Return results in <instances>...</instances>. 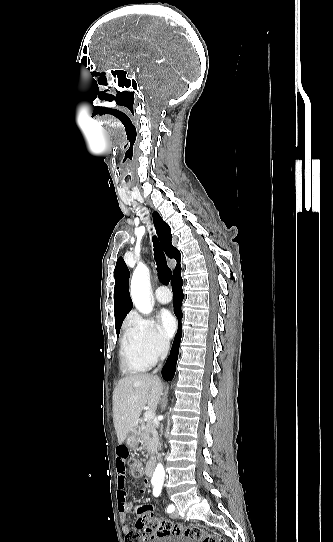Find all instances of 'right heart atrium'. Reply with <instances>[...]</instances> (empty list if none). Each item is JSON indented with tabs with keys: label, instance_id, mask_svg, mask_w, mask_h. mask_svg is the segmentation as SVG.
I'll list each match as a JSON object with an SVG mask.
<instances>
[{
	"label": "right heart atrium",
	"instance_id": "1",
	"mask_svg": "<svg viewBox=\"0 0 333 542\" xmlns=\"http://www.w3.org/2000/svg\"><path fill=\"white\" fill-rule=\"evenodd\" d=\"M125 337L154 358L166 356L170 349L169 337L152 318L134 316L126 327Z\"/></svg>",
	"mask_w": 333,
	"mask_h": 542
}]
</instances>
